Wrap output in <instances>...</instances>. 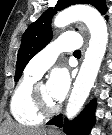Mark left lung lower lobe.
Instances as JSON below:
<instances>
[{
  "instance_id": "obj_1",
  "label": "left lung lower lobe",
  "mask_w": 112,
  "mask_h": 135,
  "mask_svg": "<svg viewBox=\"0 0 112 135\" xmlns=\"http://www.w3.org/2000/svg\"><path fill=\"white\" fill-rule=\"evenodd\" d=\"M95 104L93 100L72 122H68V120L65 119L63 125L62 115H58L47 124H53L58 127L64 126V130L67 131L69 135H88L95 122Z\"/></svg>"
}]
</instances>
